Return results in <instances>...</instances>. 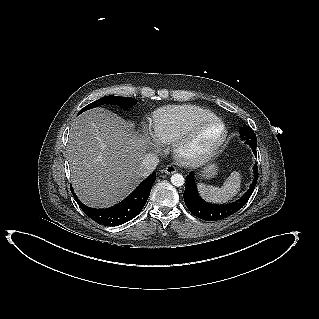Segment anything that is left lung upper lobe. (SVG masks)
Masks as SVG:
<instances>
[{
	"mask_svg": "<svg viewBox=\"0 0 319 319\" xmlns=\"http://www.w3.org/2000/svg\"><path fill=\"white\" fill-rule=\"evenodd\" d=\"M240 137L242 140H244L247 144L250 145H257V139L254 131L248 127L244 126L243 128L240 129Z\"/></svg>",
	"mask_w": 319,
	"mask_h": 319,
	"instance_id": "5c2ea615",
	"label": "left lung upper lobe"
}]
</instances>
